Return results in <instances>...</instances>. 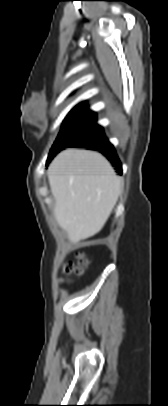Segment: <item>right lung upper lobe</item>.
Returning <instances> with one entry per match:
<instances>
[{
	"instance_id": "1",
	"label": "right lung upper lobe",
	"mask_w": 168,
	"mask_h": 406,
	"mask_svg": "<svg viewBox=\"0 0 168 406\" xmlns=\"http://www.w3.org/2000/svg\"><path fill=\"white\" fill-rule=\"evenodd\" d=\"M83 106H85L84 102H83V103L78 104L76 107H83Z\"/></svg>"
}]
</instances>
